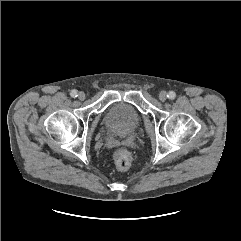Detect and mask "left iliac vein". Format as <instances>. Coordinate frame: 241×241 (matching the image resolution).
Instances as JSON below:
<instances>
[{
	"label": "left iliac vein",
	"mask_w": 241,
	"mask_h": 241,
	"mask_svg": "<svg viewBox=\"0 0 241 241\" xmlns=\"http://www.w3.org/2000/svg\"><path fill=\"white\" fill-rule=\"evenodd\" d=\"M166 99H167V93L165 91H161L159 93V100L164 102V101H166Z\"/></svg>",
	"instance_id": "obj_1"
}]
</instances>
